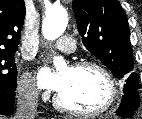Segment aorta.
Instances as JSON below:
<instances>
[{
  "label": "aorta",
  "mask_w": 142,
  "mask_h": 119,
  "mask_svg": "<svg viewBox=\"0 0 142 119\" xmlns=\"http://www.w3.org/2000/svg\"><path fill=\"white\" fill-rule=\"evenodd\" d=\"M68 17L67 11L63 7H52L45 13V18L42 23V33L47 40H55L61 36L67 26ZM54 66L61 68L65 66V61L62 57L54 58Z\"/></svg>",
  "instance_id": "aorta-1"
}]
</instances>
